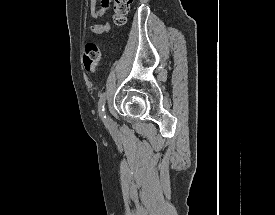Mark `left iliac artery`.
I'll list each match as a JSON object with an SVG mask.
<instances>
[{
    "label": "left iliac artery",
    "mask_w": 275,
    "mask_h": 215,
    "mask_svg": "<svg viewBox=\"0 0 275 215\" xmlns=\"http://www.w3.org/2000/svg\"><path fill=\"white\" fill-rule=\"evenodd\" d=\"M105 100H106V94L102 93L100 95V99L98 102V112H99V116L104 120L106 119V115H105Z\"/></svg>",
    "instance_id": "obj_1"
}]
</instances>
